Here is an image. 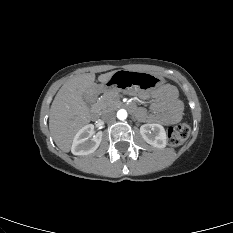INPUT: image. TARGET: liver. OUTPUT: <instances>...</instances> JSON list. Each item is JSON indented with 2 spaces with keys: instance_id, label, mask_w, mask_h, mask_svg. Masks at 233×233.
Wrapping results in <instances>:
<instances>
[{
  "instance_id": "liver-1",
  "label": "liver",
  "mask_w": 233,
  "mask_h": 233,
  "mask_svg": "<svg viewBox=\"0 0 233 233\" xmlns=\"http://www.w3.org/2000/svg\"><path fill=\"white\" fill-rule=\"evenodd\" d=\"M116 72L101 74L99 82L107 83ZM95 77L94 73L74 76L63 84L52 102L49 129L54 142L63 152L70 151L75 134L91 120L84 95L96 87Z\"/></svg>"
}]
</instances>
